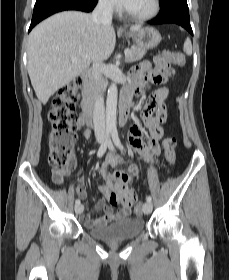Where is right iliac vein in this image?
<instances>
[{
	"instance_id": "63e3f726",
	"label": "right iliac vein",
	"mask_w": 229,
	"mask_h": 280,
	"mask_svg": "<svg viewBox=\"0 0 229 280\" xmlns=\"http://www.w3.org/2000/svg\"><path fill=\"white\" fill-rule=\"evenodd\" d=\"M102 139H99V143H102ZM84 210V206L82 204H78L75 206V212L76 214H81Z\"/></svg>"
}]
</instances>
